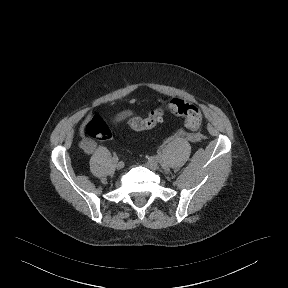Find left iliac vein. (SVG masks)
Here are the masks:
<instances>
[{
  "label": "left iliac vein",
  "mask_w": 288,
  "mask_h": 288,
  "mask_svg": "<svg viewBox=\"0 0 288 288\" xmlns=\"http://www.w3.org/2000/svg\"><path fill=\"white\" fill-rule=\"evenodd\" d=\"M147 167L153 170H157L159 169L160 165H159V161L156 158H149L147 163H146Z\"/></svg>",
  "instance_id": "1"
}]
</instances>
